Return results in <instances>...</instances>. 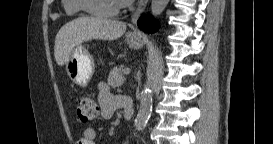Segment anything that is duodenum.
Returning <instances> with one entry per match:
<instances>
[{
  "label": "duodenum",
  "mask_w": 273,
  "mask_h": 144,
  "mask_svg": "<svg viewBox=\"0 0 273 144\" xmlns=\"http://www.w3.org/2000/svg\"><path fill=\"white\" fill-rule=\"evenodd\" d=\"M120 99L125 120H131L134 117V103L132 99L126 96H121Z\"/></svg>",
  "instance_id": "410a0bca"
}]
</instances>
